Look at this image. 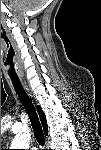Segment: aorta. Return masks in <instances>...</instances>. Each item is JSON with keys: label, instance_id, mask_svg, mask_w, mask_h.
Returning <instances> with one entry per match:
<instances>
[{"label": "aorta", "instance_id": "aorta-1", "mask_svg": "<svg viewBox=\"0 0 101 150\" xmlns=\"http://www.w3.org/2000/svg\"><path fill=\"white\" fill-rule=\"evenodd\" d=\"M31 141L30 130L24 129L23 133L17 134L11 144L12 149H28Z\"/></svg>", "mask_w": 101, "mask_h": 150}]
</instances>
